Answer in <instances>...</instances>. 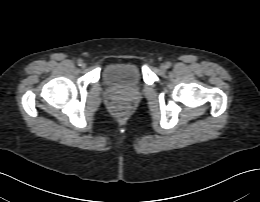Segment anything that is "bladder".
Returning <instances> with one entry per match:
<instances>
[{"instance_id": "obj_1", "label": "bladder", "mask_w": 260, "mask_h": 202, "mask_svg": "<svg viewBox=\"0 0 260 202\" xmlns=\"http://www.w3.org/2000/svg\"><path fill=\"white\" fill-rule=\"evenodd\" d=\"M105 85L115 88L135 90L143 83L141 69L131 62H116L109 64L102 73Z\"/></svg>"}]
</instances>
